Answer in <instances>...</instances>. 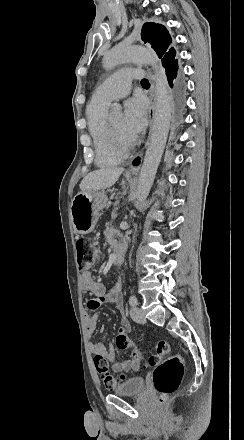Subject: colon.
<instances>
[{"label": "colon", "instance_id": "1", "mask_svg": "<svg viewBox=\"0 0 244 440\" xmlns=\"http://www.w3.org/2000/svg\"><path fill=\"white\" fill-rule=\"evenodd\" d=\"M75 247L77 265L81 271H85L88 265L92 266L99 261V250L92 246L88 240L79 238ZM117 330L119 332L115 339L116 347L121 351L131 350L133 358L136 361H141L145 352L137 348L136 344L126 336L121 326H118ZM93 362L97 373L101 375L102 382L107 386H115L120 380L126 378L125 374H121L119 379L115 373H109L108 359L101 354L95 355ZM147 364L155 366L154 387L161 399L173 394L183 377L184 367L181 354H172L170 344L160 340L155 344L153 354L149 357Z\"/></svg>", "mask_w": 244, "mask_h": 440}]
</instances>
